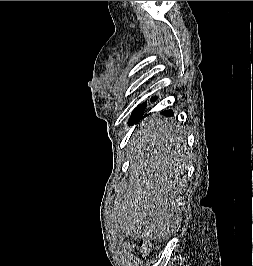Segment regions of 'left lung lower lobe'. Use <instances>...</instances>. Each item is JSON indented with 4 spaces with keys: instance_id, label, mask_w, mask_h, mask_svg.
Here are the masks:
<instances>
[{
    "instance_id": "1",
    "label": "left lung lower lobe",
    "mask_w": 253,
    "mask_h": 266,
    "mask_svg": "<svg viewBox=\"0 0 253 266\" xmlns=\"http://www.w3.org/2000/svg\"><path fill=\"white\" fill-rule=\"evenodd\" d=\"M153 100H154V99L152 98L151 101H153ZM162 114L165 115V116H167V117H170V116H172L174 113H173V111H171V110H166V111L162 112ZM132 125H133V124H132Z\"/></svg>"
}]
</instances>
